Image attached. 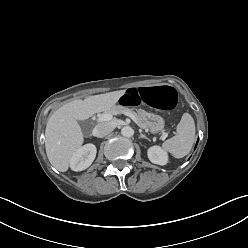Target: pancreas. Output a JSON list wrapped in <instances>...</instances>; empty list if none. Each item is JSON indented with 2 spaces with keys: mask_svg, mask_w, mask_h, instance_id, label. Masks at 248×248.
<instances>
[{
  "mask_svg": "<svg viewBox=\"0 0 248 248\" xmlns=\"http://www.w3.org/2000/svg\"><path fill=\"white\" fill-rule=\"evenodd\" d=\"M106 113H110L112 115H117V114H129V115H132L135 117L138 125L143 128V129H148V126L147 124L145 123V121L142 119V117L140 116V114L136 113L135 111L129 109V108H126V107H123V106H120V105H114L112 108L108 109L106 111Z\"/></svg>",
  "mask_w": 248,
  "mask_h": 248,
  "instance_id": "obj_1",
  "label": "pancreas"
}]
</instances>
